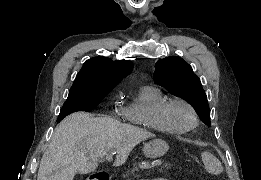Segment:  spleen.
<instances>
[{
    "mask_svg": "<svg viewBox=\"0 0 261 180\" xmlns=\"http://www.w3.org/2000/svg\"><path fill=\"white\" fill-rule=\"evenodd\" d=\"M202 160L205 164L207 172H210V174H215V176H218V174L223 172V166L221 162H219L215 156L209 154V152H203Z\"/></svg>",
    "mask_w": 261,
    "mask_h": 180,
    "instance_id": "obj_1",
    "label": "spleen"
}]
</instances>
